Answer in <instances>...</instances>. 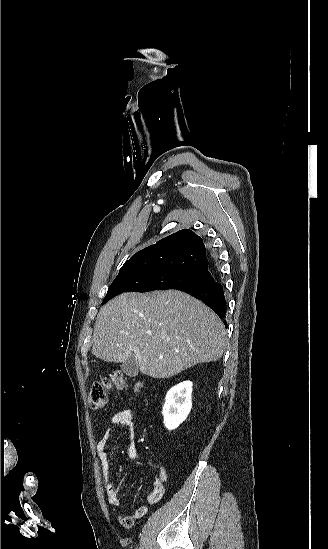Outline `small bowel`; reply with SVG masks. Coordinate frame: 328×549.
Segmentation results:
<instances>
[{
	"instance_id": "c3829d8e",
	"label": "small bowel",
	"mask_w": 328,
	"mask_h": 549,
	"mask_svg": "<svg viewBox=\"0 0 328 549\" xmlns=\"http://www.w3.org/2000/svg\"><path fill=\"white\" fill-rule=\"evenodd\" d=\"M133 422H134L133 410L124 409L121 411H117L111 416L110 425L105 431V433L103 434V436L101 437V439L98 441L96 446V451L100 461L106 494L110 504L113 506L121 505V501L119 498V487L122 481L124 480L126 474H123L118 484H115L112 481L111 474H110L109 458L107 454V444L109 442L113 429L115 427H122L127 431L129 441H130L128 446L129 457L133 460L140 459V454L135 449L134 443H133V439H134ZM148 464L150 468L156 473L157 478L154 482L151 492L147 496V501L149 502V504H156L163 497L164 490H165L164 484L167 481V472L162 465L156 462L149 460ZM144 512H145V508H140L137 510L136 514L140 516L144 514Z\"/></svg>"
}]
</instances>
